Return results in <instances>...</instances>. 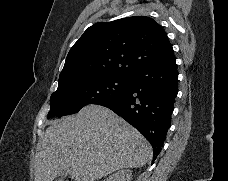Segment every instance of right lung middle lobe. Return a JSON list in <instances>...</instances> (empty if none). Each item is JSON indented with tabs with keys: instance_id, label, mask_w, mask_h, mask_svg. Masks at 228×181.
Returning <instances> with one entry per match:
<instances>
[{
	"instance_id": "1",
	"label": "right lung middle lobe",
	"mask_w": 228,
	"mask_h": 181,
	"mask_svg": "<svg viewBox=\"0 0 228 181\" xmlns=\"http://www.w3.org/2000/svg\"><path fill=\"white\" fill-rule=\"evenodd\" d=\"M129 79L110 74L58 86L50 98L48 118L77 113L87 104L112 102L124 93Z\"/></svg>"
}]
</instances>
